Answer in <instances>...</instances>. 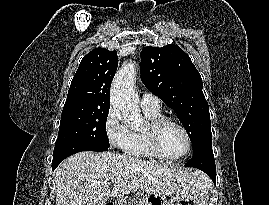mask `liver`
<instances>
[{"label": "liver", "mask_w": 269, "mask_h": 205, "mask_svg": "<svg viewBox=\"0 0 269 205\" xmlns=\"http://www.w3.org/2000/svg\"><path fill=\"white\" fill-rule=\"evenodd\" d=\"M122 180L110 190L109 181ZM200 171L162 166L115 152H80L55 170L56 205H104L137 190L173 195L208 188Z\"/></svg>", "instance_id": "obj_1"}]
</instances>
